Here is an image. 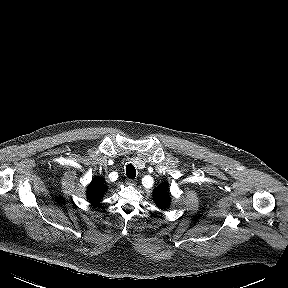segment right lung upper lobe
Segmentation results:
<instances>
[{
    "instance_id": "1",
    "label": "right lung upper lobe",
    "mask_w": 288,
    "mask_h": 288,
    "mask_svg": "<svg viewBox=\"0 0 288 288\" xmlns=\"http://www.w3.org/2000/svg\"><path fill=\"white\" fill-rule=\"evenodd\" d=\"M106 190L101 178H95L88 186V198L95 204L98 203Z\"/></svg>"
}]
</instances>
